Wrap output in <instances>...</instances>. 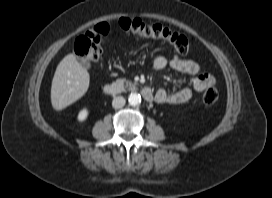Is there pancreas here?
Listing matches in <instances>:
<instances>
[{
  "label": "pancreas",
  "mask_w": 272,
  "mask_h": 198,
  "mask_svg": "<svg viewBox=\"0 0 272 198\" xmlns=\"http://www.w3.org/2000/svg\"><path fill=\"white\" fill-rule=\"evenodd\" d=\"M116 86L120 87L122 90H125L127 88L128 90L134 91L136 90L137 83H133L129 80L123 79H117L114 83Z\"/></svg>",
  "instance_id": "pancreas-1"
}]
</instances>
